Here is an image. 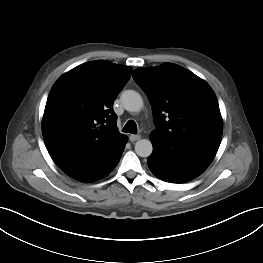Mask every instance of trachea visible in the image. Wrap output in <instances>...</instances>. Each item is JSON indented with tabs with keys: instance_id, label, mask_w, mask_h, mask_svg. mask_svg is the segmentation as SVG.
<instances>
[{
	"instance_id": "obj_1",
	"label": "trachea",
	"mask_w": 263,
	"mask_h": 263,
	"mask_svg": "<svg viewBox=\"0 0 263 263\" xmlns=\"http://www.w3.org/2000/svg\"><path fill=\"white\" fill-rule=\"evenodd\" d=\"M123 132H126V133H131V134H136L137 133V125L135 123V121L133 120H129L124 128H123Z\"/></svg>"
}]
</instances>
